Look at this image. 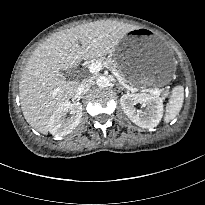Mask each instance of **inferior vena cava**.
<instances>
[{"mask_svg":"<svg viewBox=\"0 0 205 205\" xmlns=\"http://www.w3.org/2000/svg\"><path fill=\"white\" fill-rule=\"evenodd\" d=\"M93 85V80L91 78L84 79L78 86L77 92L82 93L85 89Z\"/></svg>","mask_w":205,"mask_h":205,"instance_id":"1","label":"inferior vena cava"}]
</instances>
